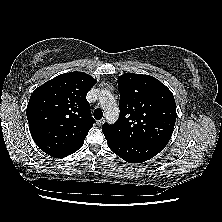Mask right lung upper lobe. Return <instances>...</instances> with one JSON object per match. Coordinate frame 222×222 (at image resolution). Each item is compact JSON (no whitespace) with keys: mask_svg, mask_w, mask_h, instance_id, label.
I'll list each match as a JSON object with an SVG mask.
<instances>
[{"mask_svg":"<svg viewBox=\"0 0 222 222\" xmlns=\"http://www.w3.org/2000/svg\"><path fill=\"white\" fill-rule=\"evenodd\" d=\"M96 80L83 72L56 76L31 95L26 114L36 145L48 155L62 158L79 150L95 120L88 91Z\"/></svg>","mask_w":222,"mask_h":222,"instance_id":"1","label":"right lung upper lobe"}]
</instances>
